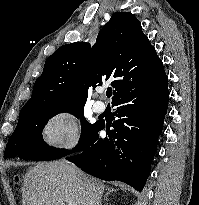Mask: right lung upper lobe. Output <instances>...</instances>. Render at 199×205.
<instances>
[{"mask_svg":"<svg viewBox=\"0 0 199 205\" xmlns=\"http://www.w3.org/2000/svg\"><path fill=\"white\" fill-rule=\"evenodd\" d=\"M163 70L139 20L130 12H119L99 31L92 48L89 43L76 42L49 56L27 103L85 104L88 92L106 81L115 89L114 100L134 81Z\"/></svg>","mask_w":199,"mask_h":205,"instance_id":"obj_1","label":"right lung upper lobe"}]
</instances>
